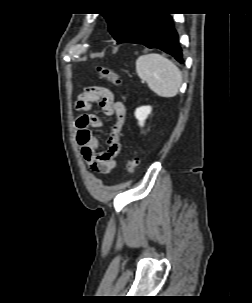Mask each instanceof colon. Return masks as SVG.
<instances>
[{
  "instance_id": "colon-1",
  "label": "colon",
  "mask_w": 252,
  "mask_h": 303,
  "mask_svg": "<svg viewBox=\"0 0 252 303\" xmlns=\"http://www.w3.org/2000/svg\"><path fill=\"white\" fill-rule=\"evenodd\" d=\"M97 72L99 73V75L103 78H105L106 80H108L109 82H111L112 84L116 85V86H121L122 85V79L119 76V74L114 71L111 68L108 67H104V66H98L96 68ZM126 172L129 175H132L136 172L137 168H138V161L135 157L129 158L126 161Z\"/></svg>"
}]
</instances>
